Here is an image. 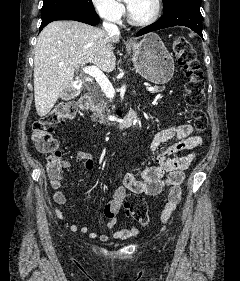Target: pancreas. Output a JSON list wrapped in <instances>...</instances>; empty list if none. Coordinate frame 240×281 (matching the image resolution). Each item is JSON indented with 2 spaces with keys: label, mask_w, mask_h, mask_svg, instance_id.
Returning <instances> with one entry per match:
<instances>
[{
  "label": "pancreas",
  "mask_w": 240,
  "mask_h": 281,
  "mask_svg": "<svg viewBox=\"0 0 240 281\" xmlns=\"http://www.w3.org/2000/svg\"><path fill=\"white\" fill-rule=\"evenodd\" d=\"M164 90H165V86H161V87L156 86L155 90L152 91V93H158ZM92 97H93V106L91 109L93 112L92 119L93 121H97L100 124H105L107 122L106 114L110 112V107L108 106V104L111 101L106 99V95L100 89H96V91L92 93ZM113 107L114 106H112L111 108Z\"/></svg>",
  "instance_id": "cf45deb5"
}]
</instances>
